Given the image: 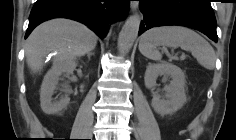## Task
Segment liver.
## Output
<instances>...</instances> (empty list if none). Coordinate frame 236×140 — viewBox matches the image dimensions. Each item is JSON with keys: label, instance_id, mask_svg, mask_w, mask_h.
Wrapping results in <instances>:
<instances>
[{"label": "liver", "instance_id": "1", "mask_svg": "<svg viewBox=\"0 0 236 140\" xmlns=\"http://www.w3.org/2000/svg\"><path fill=\"white\" fill-rule=\"evenodd\" d=\"M97 36L85 25L69 19H52L34 29L25 48L26 60L32 72L42 70L44 58L57 52L55 63L72 60L92 51Z\"/></svg>", "mask_w": 236, "mask_h": 140}]
</instances>
